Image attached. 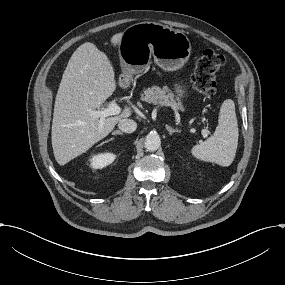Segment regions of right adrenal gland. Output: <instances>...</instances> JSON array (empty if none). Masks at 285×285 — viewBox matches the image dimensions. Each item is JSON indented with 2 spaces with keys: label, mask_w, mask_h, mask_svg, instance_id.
<instances>
[{
  "label": "right adrenal gland",
  "mask_w": 285,
  "mask_h": 285,
  "mask_svg": "<svg viewBox=\"0 0 285 285\" xmlns=\"http://www.w3.org/2000/svg\"><path fill=\"white\" fill-rule=\"evenodd\" d=\"M112 135H123V133L120 130H115L112 132Z\"/></svg>",
  "instance_id": "obj_1"
}]
</instances>
